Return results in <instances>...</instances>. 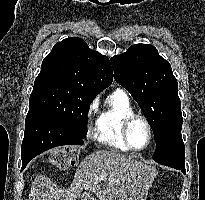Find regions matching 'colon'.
<instances>
[{
  "instance_id": "colon-1",
  "label": "colon",
  "mask_w": 205,
  "mask_h": 200,
  "mask_svg": "<svg viewBox=\"0 0 205 200\" xmlns=\"http://www.w3.org/2000/svg\"><path fill=\"white\" fill-rule=\"evenodd\" d=\"M49 162L53 168L59 170L73 167L78 162V150L73 147L60 149L51 154Z\"/></svg>"
}]
</instances>
